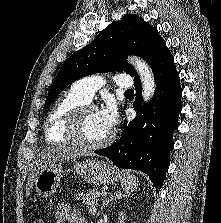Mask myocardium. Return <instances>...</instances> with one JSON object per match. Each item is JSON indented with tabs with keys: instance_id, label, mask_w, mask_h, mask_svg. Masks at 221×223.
<instances>
[{
	"instance_id": "obj_1",
	"label": "myocardium",
	"mask_w": 221,
	"mask_h": 223,
	"mask_svg": "<svg viewBox=\"0 0 221 223\" xmlns=\"http://www.w3.org/2000/svg\"><path fill=\"white\" fill-rule=\"evenodd\" d=\"M97 106L89 103H84L82 105L74 108L68 115L65 134L76 146L84 150H98L104 148L112 143L115 134L111 132L107 138L97 143H88L82 140L80 136L81 123L85 114L92 110H97Z\"/></svg>"
}]
</instances>
